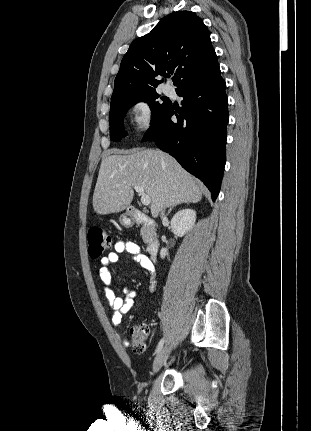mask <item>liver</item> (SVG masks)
<instances>
[{
    "mask_svg": "<svg viewBox=\"0 0 311 431\" xmlns=\"http://www.w3.org/2000/svg\"><path fill=\"white\" fill-rule=\"evenodd\" d=\"M112 152L113 156L101 162L93 192L92 206L99 216L118 214L129 208L134 186H141L150 196L152 217H158L163 208L202 200L203 186L169 154L139 148Z\"/></svg>",
    "mask_w": 311,
    "mask_h": 431,
    "instance_id": "1",
    "label": "liver"
}]
</instances>
